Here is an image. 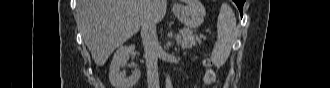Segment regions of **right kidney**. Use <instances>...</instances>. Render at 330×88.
Listing matches in <instances>:
<instances>
[{
	"label": "right kidney",
	"instance_id": "1",
	"mask_svg": "<svg viewBox=\"0 0 330 88\" xmlns=\"http://www.w3.org/2000/svg\"><path fill=\"white\" fill-rule=\"evenodd\" d=\"M135 45L121 46L113 55L109 70V81L114 88H132L139 80L141 72L135 69L130 77H126L121 68L127 63V59Z\"/></svg>",
	"mask_w": 330,
	"mask_h": 88
}]
</instances>
